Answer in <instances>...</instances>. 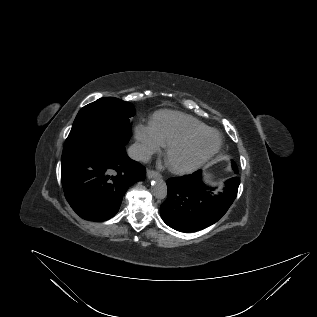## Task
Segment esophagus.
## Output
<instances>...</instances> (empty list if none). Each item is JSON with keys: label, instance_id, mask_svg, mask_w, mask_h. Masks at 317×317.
Instances as JSON below:
<instances>
[{"label": "esophagus", "instance_id": "esophagus-1", "mask_svg": "<svg viewBox=\"0 0 317 317\" xmlns=\"http://www.w3.org/2000/svg\"><path fill=\"white\" fill-rule=\"evenodd\" d=\"M160 177H161V175L157 171L151 170V169L147 170V178L148 179L160 178Z\"/></svg>", "mask_w": 317, "mask_h": 317}]
</instances>
